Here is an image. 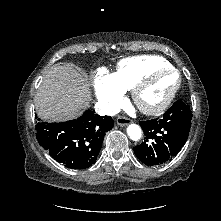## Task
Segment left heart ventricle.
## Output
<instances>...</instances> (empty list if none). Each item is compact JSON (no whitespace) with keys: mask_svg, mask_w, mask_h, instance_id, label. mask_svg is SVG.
<instances>
[{"mask_svg":"<svg viewBox=\"0 0 221 221\" xmlns=\"http://www.w3.org/2000/svg\"><path fill=\"white\" fill-rule=\"evenodd\" d=\"M176 83L174 74H166L158 78L141 95V101L146 105L160 103L171 91Z\"/></svg>","mask_w":221,"mask_h":221,"instance_id":"1","label":"left heart ventricle"}]
</instances>
